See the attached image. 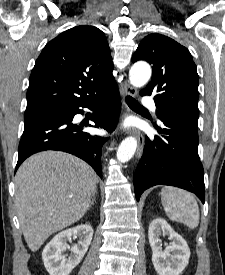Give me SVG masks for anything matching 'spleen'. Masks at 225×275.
Returning a JSON list of instances; mask_svg holds the SVG:
<instances>
[{
	"label": "spleen",
	"mask_w": 225,
	"mask_h": 275,
	"mask_svg": "<svg viewBox=\"0 0 225 275\" xmlns=\"http://www.w3.org/2000/svg\"><path fill=\"white\" fill-rule=\"evenodd\" d=\"M161 202L168 218L190 229L199 225V207L193 195L185 190L165 186L161 190Z\"/></svg>",
	"instance_id": "3e777b00"
}]
</instances>
